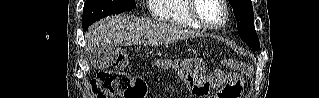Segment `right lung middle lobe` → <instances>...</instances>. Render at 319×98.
<instances>
[{
	"instance_id": "right-lung-middle-lobe-1",
	"label": "right lung middle lobe",
	"mask_w": 319,
	"mask_h": 98,
	"mask_svg": "<svg viewBox=\"0 0 319 98\" xmlns=\"http://www.w3.org/2000/svg\"><path fill=\"white\" fill-rule=\"evenodd\" d=\"M135 7V0H86L83 8V27L108 15L129 11Z\"/></svg>"
}]
</instances>
